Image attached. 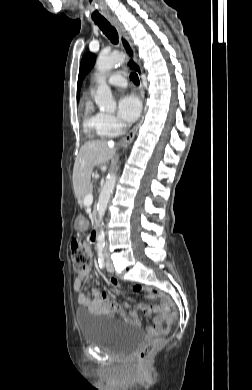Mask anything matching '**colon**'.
<instances>
[{
    "label": "colon",
    "mask_w": 252,
    "mask_h": 390,
    "mask_svg": "<svg viewBox=\"0 0 252 390\" xmlns=\"http://www.w3.org/2000/svg\"><path fill=\"white\" fill-rule=\"evenodd\" d=\"M71 259L73 269L76 273L87 270L92 262V256L90 252L87 251L77 240H73L71 243ZM112 285L116 288H119L115 282L112 283ZM141 289L142 288L140 286L133 287L134 292H139ZM148 293L151 297L162 299L171 318L174 319L176 317V308L173 302L166 295L155 288H149ZM162 345L163 340L161 338L148 342L140 349L138 353V360L142 363H147L150 361L154 353L162 347Z\"/></svg>",
    "instance_id": "5ec220e1"
}]
</instances>
